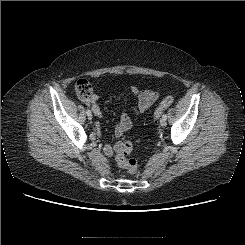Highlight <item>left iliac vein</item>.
Here are the masks:
<instances>
[{
  "label": "left iliac vein",
  "instance_id": "4c4485c4",
  "mask_svg": "<svg viewBox=\"0 0 245 245\" xmlns=\"http://www.w3.org/2000/svg\"><path fill=\"white\" fill-rule=\"evenodd\" d=\"M160 126H162V127L166 126V119H164V118L160 119Z\"/></svg>",
  "mask_w": 245,
  "mask_h": 245
}]
</instances>
